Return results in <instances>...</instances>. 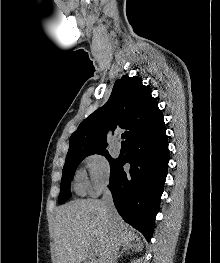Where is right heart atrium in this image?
Segmentation results:
<instances>
[{
	"label": "right heart atrium",
	"instance_id": "d8ad5b80",
	"mask_svg": "<svg viewBox=\"0 0 220 263\" xmlns=\"http://www.w3.org/2000/svg\"><path fill=\"white\" fill-rule=\"evenodd\" d=\"M83 162L87 170V189L91 194L97 195L110 184V163L101 153L90 154L84 158Z\"/></svg>",
	"mask_w": 220,
	"mask_h": 263
}]
</instances>
